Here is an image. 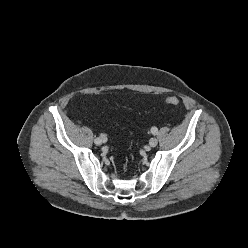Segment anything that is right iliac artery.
<instances>
[{"label":"right iliac artery","instance_id":"right-iliac-artery-1","mask_svg":"<svg viewBox=\"0 0 248 248\" xmlns=\"http://www.w3.org/2000/svg\"><path fill=\"white\" fill-rule=\"evenodd\" d=\"M93 141L95 142L96 145H99L101 140L98 139V137H94Z\"/></svg>","mask_w":248,"mask_h":248}]
</instances>
